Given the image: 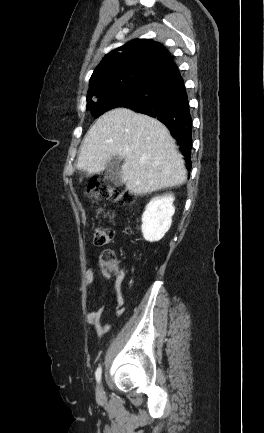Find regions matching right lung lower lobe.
Here are the masks:
<instances>
[{
	"label": "right lung lower lobe",
	"instance_id": "1",
	"mask_svg": "<svg viewBox=\"0 0 264 433\" xmlns=\"http://www.w3.org/2000/svg\"><path fill=\"white\" fill-rule=\"evenodd\" d=\"M162 122L178 141L191 168L192 118L183 78L170 57L141 85L124 106Z\"/></svg>",
	"mask_w": 264,
	"mask_h": 433
}]
</instances>
